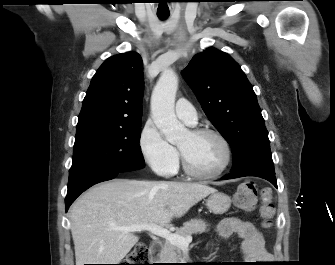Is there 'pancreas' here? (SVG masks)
Returning <instances> with one entry per match:
<instances>
[{
  "label": "pancreas",
  "mask_w": 335,
  "mask_h": 265,
  "mask_svg": "<svg viewBox=\"0 0 335 265\" xmlns=\"http://www.w3.org/2000/svg\"><path fill=\"white\" fill-rule=\"evenodd\" d=\"M208 224L202 219H191L185 222L181 228L176 231V234L187 237L192 234H201L206 232ZM160 259L163 263H179L181 260V249L180 247L171 244L169 241H165L164 248L161 252Z\"/></svg>",
  "instance_id": "pancreas-1"
}]
</instances>
